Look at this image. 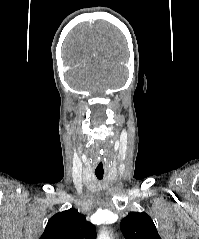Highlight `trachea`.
Listing matches in <instances>:
<instances>
[{
	"instance_id": "obj_1",
	"label": "trachea",
	"mask_w": 199,
	"mask_h": 239,
	"mask_svg": "<svg viewBox=\"0 0 199 239\" xmlns=\"http://www.w3.org/2000/svg\"><path fill=\"white\" fill-rule=\"evenodd\" d=\"M95 175L99 180L103 179V173H95Z\"/></svg>"
}]
</instances>
